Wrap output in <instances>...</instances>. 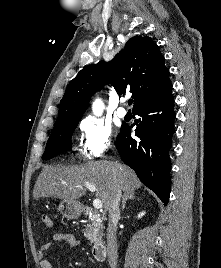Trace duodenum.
I'll list each match as a JSON object with an SVG mask.
<instances>
[{
	"instance_id": "1",
	"label": "duodenum",
	"mask_w": 221,
	"mask_h": 268,
	"mask_svg": "<svg viewBox=\"0 0 221 268\" xmlns=\"http://www.w3.org/2000/svg\"><path fill=\"white\" fill-rule=\"evenodd\" d=\"M91 253L96 261H103L106 258V245L103 240L96 241L92 248Z\"/></svg>"
}]
</instances>
